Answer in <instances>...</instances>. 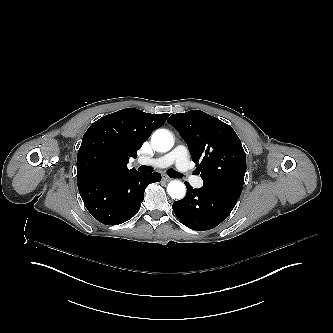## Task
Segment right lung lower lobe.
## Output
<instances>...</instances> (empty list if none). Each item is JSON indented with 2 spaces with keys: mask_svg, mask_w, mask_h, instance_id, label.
I'll use <instances>...</instances> for the list:
<instances>
[{
  "mask_svg": "<svg viewBox=\"0 0 333 333\" xmlns=\"http://www.w3.org/2000/svg\"><path fill=\"white\" fill-rule=\"evenodd\" d=\"M160 180L159 173L143 174L135 169L77 175L78 190L87 210L106 225L131 219L140 209L145 188Z\"/></svg>",
  "mask_w": 333,
  "mask_h": 333,
  "instance_id": "obj_1",
  "label": "right lung lower lobe"
}]
</instances>
